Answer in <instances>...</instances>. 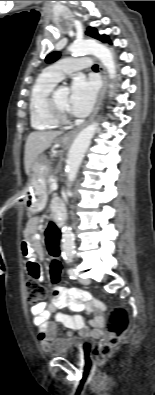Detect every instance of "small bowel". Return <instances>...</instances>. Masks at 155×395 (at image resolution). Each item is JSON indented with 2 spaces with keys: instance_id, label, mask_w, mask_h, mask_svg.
<instances>
[{
  "instance_id": "obj_1",
  "label": "small bowel",
  "mask_w": 155,
  "mask_h": 395,
  "mask_svg": "<svg viewBox=\"0 0 155 395\" xmlns=\"http://www.w3.org/2000/svg\"><path fill=\"white\" fill-rule=\"evenodd\" d=\"M53 211L62 208L60 202L55 200L52 204ZM37 224L32 223L27 230V238L21 244V251L27 260L28 274L43 281V273L38 263L43 258V253L36 241ZM70 308L73 311L85 310L93 313L94 316L90 320L92 327L89 330L82 316L78 314L68 315L57 312L59 309ZM108 302L103 300H92L89 294L78 288L66 289L64 287H56L53 291V299L50 304L44 302L37 303L31 307L33 315V323L37 328V338L42 349L47 350L51 346V342L56 337L57 324L60 323L68 330L64 332V338H71V330H75L80 336H99L103 328V317L101 315L108 314ZM99 311V313H98ZM55 313L54 321H50V315Z\"/></svg>"
}]
</instances>
